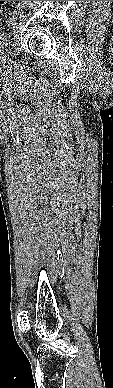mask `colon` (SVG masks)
I'll return each mask as SVG.
<instances>
[{"label":"colon","mask_w":113,"mask_h":388,"mask_svg":"<svg viewBox=\"0 0 113 388\" xmlns=\"http://www.w3.org/2000/svg\"><path fill=\"white\" fill-rule=\"evenodd\" d=\"M8 1H0V8L7 4Z\"/></svg>","instance_id":"obj_1"}]
</instances>
